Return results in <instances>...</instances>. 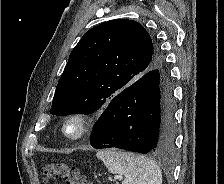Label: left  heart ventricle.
<instances>
[{
    "instance_id": "obj_1",
    "label": "left heart ventricle",
    "mask_w": 224,
    "mask_h": 184,
    "mask_svg": "<svg viewBox=\"0 0 224 184\" xmlns=\"http://www.w3.org/2000/svg\"><path fill=\"white\" fill-rule=\"evenodd\" d=\"M73 130H74V127H71V128H70V131L72 132Z\"/></svg>"
}]
</instances>
